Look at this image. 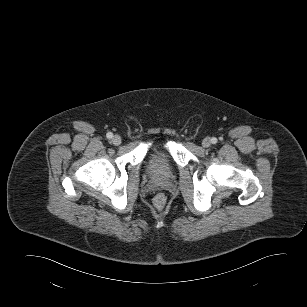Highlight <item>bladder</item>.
Here are the masks:
<instances>
[{"label":"bladder","instance_id":"1","mask_svg":"<svg viewBox=\"0 0 307 307\" xmlns=\"http://www.w3.org/2000/svg\"><path fill=\"white\" fill-rule=\"evenodd\" d=\"M147 170L154 178H167L171 174L168 156L161 151L154 152L149 158Z\"/></svg>","mask_w":307,"mask_h":307}]
</instances>
